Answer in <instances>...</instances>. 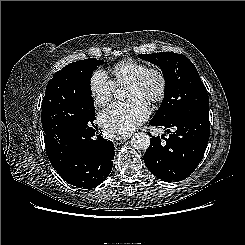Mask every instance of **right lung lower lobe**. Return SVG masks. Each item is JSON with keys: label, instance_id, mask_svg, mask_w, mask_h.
Instances as JSON below:
<instances>
[{"label": "right lung lower lobe", "instance_id": "obj_1", "mask_svg": "<svg viewBox=\"0 0 245 245\" xmlns=\"http://www.w3.org/2000/svg\"><path fill=\"white\" fill-rule=\"evenodd\" d=\"M94 128L67 130L54 127L44 132L46 153L52 166L61 178L78 188L100 185L112 170L113 142L100 135L94 137L98 134Z\"/></svg>", "mask_w": 245, "mask_h": 245}]
</instances>
